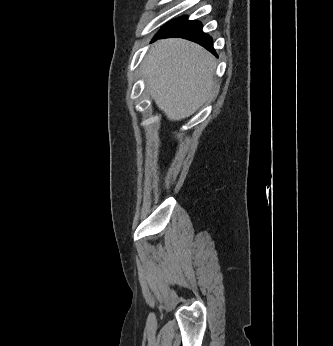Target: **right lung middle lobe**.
<instances>
[{
	"label": "right lung middle lobe",
	"instance_id": "right-lung-middle-lobe-1",
	"mask_svg": "<svg viewBox=\"0 0 333 346\" xmlns=\"http://www.w3.org/2000/svg\"><path fill=\"white\" fill-rule=\"evenodd\" d=\"M173 21H174V20H172V21L168 22L167 24H165V25L162 27V29L160 30V32L163 31V30H165L166 28H168V27L173 23Z\"/></svg>",
	"mask_w": 333,
	"mask_h": 346
}]
</instances>
